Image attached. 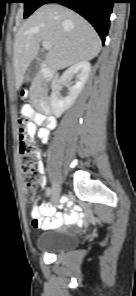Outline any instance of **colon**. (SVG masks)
Listing matches in <instances>:
<instances>
[{
	"label": "colon",
	"instance_id": "1",
	"mask_svg": "<svg viewBox=\"0 0 136 296\" xmlns=\"http://www.w3.org/2000/svg\"><path fill=\"white\" fill-rule=\"evenodd\" d=\"M27 109H29V107L25 105L19 108L20 172L25 201L28 206L32 207L36 200V188L39 181V174L36 170L38 152L32 141V135L30 134L32 125L25 115Z\"/></svg>",
	"mask_w": 136,
	"mask_h": 296
}]
</instances>
